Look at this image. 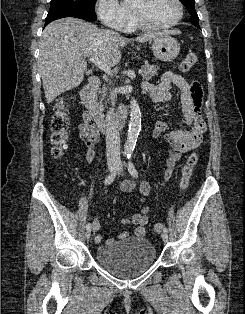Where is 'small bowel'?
<instances>
[{
  "mask_svg": "<svg viewBox=\"0 0 245 314\" xmlns=\"http://www.w3.org/2000/svg\"><path fill=\"white\" fill-rule=\"evenodd\" d=\"M172 86H176L180 90L183 119L189 129L167 131V123L159 121L152 131L154 138L162 137L168 145V154L165 159L164 169L165 180L171 178L175 164L181 158L182 154L199 146L206 132V125L201 112L203 91L199 82H188L180 74L169 71L162 76L159 84H145L144 89L153 102L166 103L171 99ZM78 128L79 137L86 149V160L92 163L95 159V145L99 140V134L93 121L86 113L83 115V121L79 124ZM136 187L139 188L141 193L139 200L141 209L130 218H123L121 223L124 225H134V236L136 238H143L146 232L145 227L149 222L148 213L150 212V207L144 204L150 193V185L145 181L126 180L121 184V191L125 193L131 192ZM92 228L94 231L101 229V224L97 219L93 221ZM128 236L129 232L124 231L119 234L118 238L124 239ZM101 241L102 235L99 234L95 237V242L99 243ZM114 241V238H108L106 242Z\"/></svg>",
  "mask_w": 245,
  "mask_h": 314,
  "instance_id": "1",
  "label": "small bowel"
}]
</instances>
